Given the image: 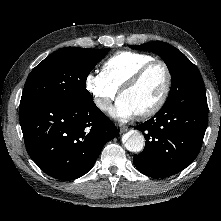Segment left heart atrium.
Instances as JSON below:
<instances>
[{
    "label": "left heart atrium",
    "instance_id": "obj_1",
    "mask_svg": "<svg viewBox=\"0 0 221 221\" xmlns=\"http://www.w3.org/2000/svg\"><path fill=\"white\" fill-rule=\"evenodd\" d=\"M110 114L121 121H127L136 113L125 99L119 97L115 105L110 109Z\"/></svg>",
    "mask_w": 221,
    "mask_h": 221
}]
</instances>
